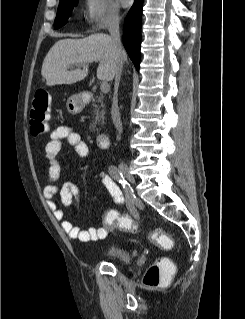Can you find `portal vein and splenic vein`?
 <instances>
[{"label": "portal vein and splenic vein", "instance_id": "obj_1", "mask_svg": "<svg viewBox=\"0 0 245 319\" xmlns=\"http://www.w3.org/2000/svg\"><path fill=\"white\" fill-rule=\"evenodd\" d=\"M100 88H101V91L103 93H107L109 91V89H110V87H109V85H108V83L106 81H102L101 82Z\"/></svg>", "mask_w": 245, "mask_h": 319}]
</instances>
